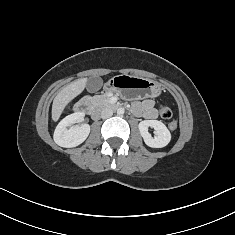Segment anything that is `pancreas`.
<instances>
[{
  "mask_svg": "<svg viewBox=\"0 0 235 235\" xmlns=\"http://www.w3.org/2000/svg\"><path fill=\"white\" fill-rule=\"evenodd\" d=\"M109 99L110 97L108 94H103L92 97L91 101L96 106L105 107L110 105Z\"/></svg>",
  "mask_w": 235,
  "mask_h": 235,
  "instance_id": "obj_1",
  "label": "pancreas"
}]
</instances>
